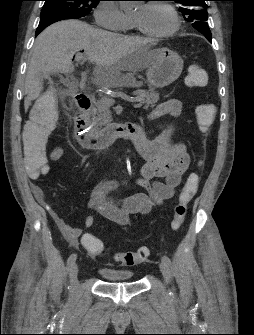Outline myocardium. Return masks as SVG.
Segmentation results:
<instances>
[{
  "label": "myocardium",
  "mask_w": 254,
  "mask_h": 335,
  "mask_svg": "<svg viewBox=\"0 0 254 335\" xmlns=\"http://www.w3.org/2000/svg\"><path fill=\"white\" fill-rule=\"evenodd\" d=\"M153 5L163 6L170 11V13L173 16V20H174L173 26L165 32L152 33V32H148V31L144 30L137 23V21L134 19V24H135L136 28L143 35H146V36H149V37H152V38L165 39V38L173 36L179 30V28L181 26V19H180V16L178 14V11L176 10V8L172 4H170L168 2H165V1H156V2L153 3Z\"/></svg>",
  "instance_id": "f54148a6"
}]
</instances>
